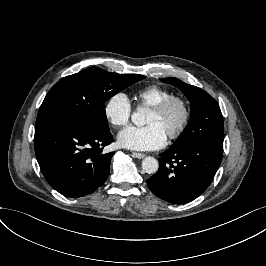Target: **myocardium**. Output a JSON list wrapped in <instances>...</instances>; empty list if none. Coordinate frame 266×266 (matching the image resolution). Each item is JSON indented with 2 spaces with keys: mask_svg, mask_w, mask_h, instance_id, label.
Wrapping results in <instances>:
<instances>
[{
  "mask_svg": "<svg viewBox=\"0 0 266 266\" xmlns=\"http://www.w3.org/2000/svg\"><path fill=\"white\" fill-rule=\"evenodd\" d=\"M175 104H179L182 107L183 118L175 129L167 133L168 138H170L171 140L179 138L184 133L190 123L191 106L189 101L183 96L173 94L151 107V110L159 114H165Z\"/></svg>",
  "mask_w": 266,
  "mask_h": 266,
  "instance_id": "myocardium-1",
  "label": "myocardium"
}]
</instances>
